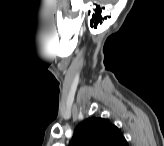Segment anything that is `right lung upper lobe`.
<instances>
[{
  "label": "right lung upper lobe",
  "mask_w": 164,
  "mask_h": 146,
  "mask_svg": "<svg viewBox=\"0 0 164 146\" xmlns=\"http://www.w3.org/2000/svg\"><path fill=\"white\" fill-rule=\"evenodd\" d=\"M120 130L103 118L91 117L75 130L70 146H126Z\"/></svg>",
  "instance_id": "cb5924a9"
}]
</instances>
